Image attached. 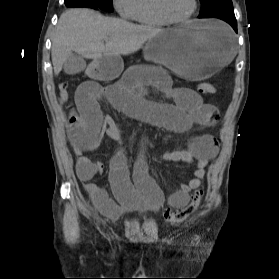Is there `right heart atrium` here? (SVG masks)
<instances>
[{
    "instance_id": "1",
    "label": "right heart atrium",
    "mask_w": 279,
    "mask_h": 279,
    "mask_svg": "<svg viewBox=\"0 0 279 279\" xmlns=\"http://www.w3.org/2000/svg\"><path fill=\"white\" fill-rule=\"evenodd\" d=\"M113 5L118 14L126 19H132L135 12L136 0H113Z\"/></svg>"
}]
</instances>
